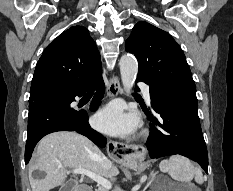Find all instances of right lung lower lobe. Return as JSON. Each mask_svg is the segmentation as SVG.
Returning a JSON list of instances; mask_svg holds the SVG:
<instances>
[{
  "label": "right lung lower lobe",
  "instance_id": "right-lung-lower-lobe-1",
  "mask_svg": "<svg viewBox=\"0 0 233 191\" xmlns=\"http://www.w3.org/2000/svg\"><path fill=\"white\" fill-rule=\"evenodd\" d=\"M89 89H97L91 110L95 111L105 90L102 75L82 87L72 89L40 88L30 93L28 135L25 147V163L37 142L45 135L56 131H75L88 137L96 145L104 147L106 138L93 130L88 123L85 111H77L70 107L75 96H82Z\"/></svg>",
  "mask_w": 233,
  "mask_h": 191
}]
</instances>
